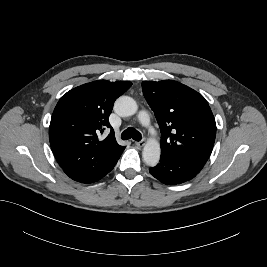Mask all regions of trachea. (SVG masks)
Wrapping results in <instances>:
<instances>
[{
  "label": "trachea",
  "mask_w": 267,
  "mask_h": 267,
  "mask_svg": "<svg viewBox=\"0 0 267 267\" xmlns=\"http://www.w3.org/2000/svg\"><path fill=\"white\" fill-rule=\"evenodd\" d=\"M121 138L123 140H127V139L132 138L135 141H140L142 139V136H141V133L139 131H137L136 129L128 128L122 132Z\"/></svg>",
  "instance_id": "obj_1"
}]
</instances>
